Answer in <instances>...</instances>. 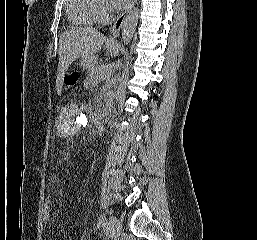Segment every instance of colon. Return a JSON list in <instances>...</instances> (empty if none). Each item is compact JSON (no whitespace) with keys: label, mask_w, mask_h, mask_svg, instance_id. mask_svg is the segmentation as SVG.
I'll return each instance as SVG.
<instances>
[{"label":"colon","mask_w":257,"mask_h":240,"mask_svg":"<svg viewBox=\"0 0 257 240\" xmlns=\"http://www.w3.org/2000/svg\"><path fill=\"white\" fill-rule=\"evenodd\" d=\"M79 81V73L76 70H70L64 76V85L68 89L76 88ZM52 215V203L50 200H46L43 205L42 218L44 225H47Z\"/></svg>","instance_id":"obj_1"}]
</instances>
